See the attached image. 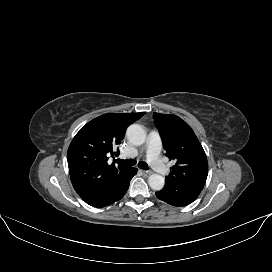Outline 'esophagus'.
Returning a JSON list of instances; mask_svg holds the SVG:
<instances>
[{"mask_svg":"<svg viewBox=\"0 0 272 272\" xmlns=\"http://www.w3.org/2000/svg\"><path fill=\"white\" fill-rule=\"evenodd\" d=\"M144 175L148 176V175H151L152 172L151 171H146V170H143L142 171Z\"/></svg>","mask_w":272,"mask_h":272,"instance_id":"1","label":"esophagus"}]
</instances>
